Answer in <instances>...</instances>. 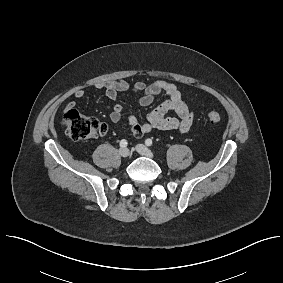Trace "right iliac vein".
I'll return each mask as SVG.
<instances>
[{
    "instance_id": "1",
    "label": "right iliac vein",
    "mask_w": 283,
    "mask_h": 283,
    "mask_svg": "<svg viewBox=\"0 0 283 283\" xmlns=\"http://www.w3.org/2000/svg\"><path fill=\"white\" fill-rule=\"evenodd\" d=\"M119 154L122 156V157H128L130 155V151L128 148H121L119 150Z\"/></svg>"
}]
</instances>
